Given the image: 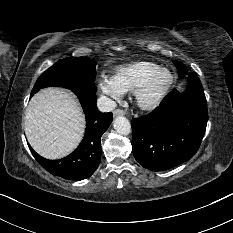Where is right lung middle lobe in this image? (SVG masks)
Masks as SVG:
<instances>
[{"instance_id":"right-lung-middle-lobe-1","label":"right lung middle lobe","mask_w":233,"mask_h":233,"mask_svg":"<svg viewBox=\"0 0 233 233\" xmlns=\"http://www.w3.org/2000/svg\"><path fill=\"white\" fill-rule=\"evenodd\" d=\"M96 62L85 58H66L56 62L46 70L36 81L31 96L39 89L49 86H59L68 89L91 88L96 77Z\"/></svg>"}]
</instances>
